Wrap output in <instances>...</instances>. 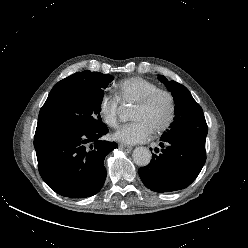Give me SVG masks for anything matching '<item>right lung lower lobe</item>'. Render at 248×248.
I'll use <instances>...</instances> for the list:
<instances>
[{"instance_id":"98d812e1","label":"right lung lower lobe","mask_w":248,"mask_h":248,"mask_svg":"<svg viewBox=\"0 0 248 248\" xmlns=\"http://www.w3.org/2000/svg\"><path fill=\"white\" fill-rule=\"evenodd\" d=\"M108 131L106 125L94 130L37 127L34 147L42 179L65 197L86 198L98 193L107 174L104 158L118 148L115 142L100 140Z\"/></svg>"}]
</instances>
